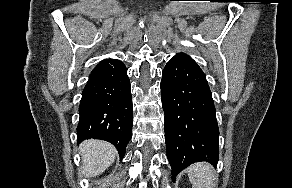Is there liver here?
<instances>
[{
	"instance_id": "6515ba94",
	"label": "liver",
	"mask_w": 292,
	"mask_h": 188,
	"mask_svg": "<svg viewBox=\"0 0 292 188\" xmlns=\"http://www.w3.org/2000/svg\"><path fill=\"white\" fill-rule=\"evenodd\" d=\"M82 169L86 177H95L105 171L115 160V147L101 140H86L80 146Z\"/></svg>"
}]
</instances>
